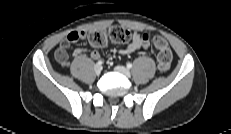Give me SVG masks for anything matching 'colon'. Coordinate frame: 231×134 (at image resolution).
Wrapping results in <instances>:
<instances>
[{
    "instance_id": "colon-1",
    "label": "colon",
    "mask_w": 231,
    "mask_h": 134,
    "mask_svg": "<svg viewBox=\"0 0 231 134\" xmlns=\"http://www.w3.org/2000/svg\"><path fill=\"white\" fill-rule=\"evenodd\" d=\"M131 38V33L128 29L122 26H112L108 30L93 31L89 34V42L95 47H102L109 40L118 44L127 43ZM153 44L157 49V63L161 72L169 70L173 54L168 46V43L161 36H154Z\"/></svg>"
}]
</instances>
